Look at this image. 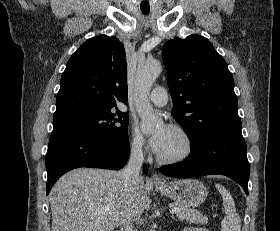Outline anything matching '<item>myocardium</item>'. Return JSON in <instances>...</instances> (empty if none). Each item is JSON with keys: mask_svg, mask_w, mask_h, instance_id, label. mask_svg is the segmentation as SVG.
Instances as JSON below:
<instances>
[{"mask_svg": "<svg viewBox=\"0 0 280 231\" xmlns=\"http://www.w3.org/2000/svg\"><path fill=\"white\" fill-rule=\"evenodd\" d=\"M171 129L180 138H182L185 147H184L183 151H181L180 153H177L173 156H170V157L158 155L157 156L158 161L165 165H174V164L184 162L185 160L189 159L192 156L194 149H195L194 140L189 131H187L186 129H184L180 126H177V125H172Z\"/></svg>", "mask_w": 280, "mask_h": 231, "instance_id": "f54148a6", "label": "myocardium"}]
</instances>
